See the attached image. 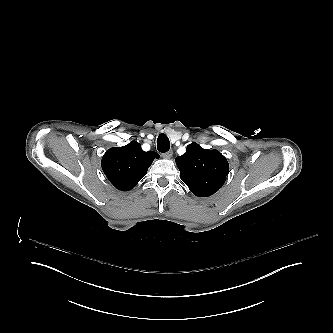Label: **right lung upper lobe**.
Returning <instances> with one entry per match:
<instances>
[{"mask_svg":"<svg viewBox=\"0 0 333 333\" xmlns=\"http://www.w3.org/2000/svg\"><path fill=\"white\" fill-rule=\"evenodd\" d=\"M155 158H159L156 152H145L138 142L132 141L122 147L110 148L101 164L108 180L117 189L128 191L145 176Z\"/></svg>","mask_w":333,"mask_h":333,"instance_id":"right-lung-upper-lobe-1","label":"right lung upper lobe"}]
</instances>
